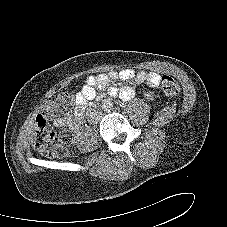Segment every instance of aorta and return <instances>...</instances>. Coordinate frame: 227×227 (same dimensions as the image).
<instances>
[{
    "mask_svg": "<svg viewBox=\"0 0 227 227\" xmlns=\"http://www.w3.org/2000/svg\"><path fill=\"white\" fill-rule=\"evenodd\" d=\"M101 108L107 112V111L112 110L113 104L110 100H104V101H102Z\"/></svg>",
    "mask_w": 227,
    "mask_h": 227,
    "instance_id": "aorta-1",
    "label": "aorta"
}]
</instances>
